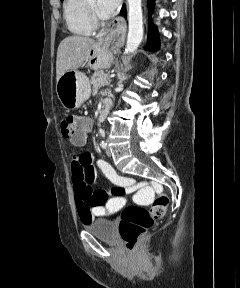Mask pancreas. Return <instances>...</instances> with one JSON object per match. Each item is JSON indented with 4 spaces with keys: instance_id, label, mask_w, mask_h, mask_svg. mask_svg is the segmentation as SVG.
<instances>
[{
    "instance_id": "obj_1",
    "label": "pancreas",
    "mask_w": 240,
    "mask_h": 288,
    "mask_svg": "<svg viewBox=\"0 0 240 288\" xmlns=\"http://www.w3.org/2000/svg\"><path fill=\"white\" fill-rule=\"evenodd\" d=\"M110 78L107 73H104L103 71H96L91 76V84L93 85L94 89H98L104 85H109Z\"/></svg>"
}]
</instances>
